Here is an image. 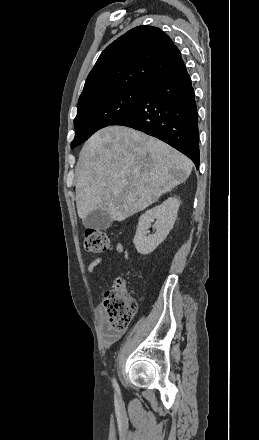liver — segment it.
Here are the masks:
<instances>
[{
	"instance_id": "obj_1",
	"label": "liver",
	"mask_w": 259,
	"mask_h": 440,
	"mask_svg": "<svg viewBox=\"0 0 259 440\" xmlns=\"http://www.w3.org/2000/svg\"><path fill=\"white\" fill-rule=\"evenodd\" d=\"M191 160L163 141L125 126L97 131L76 166V205L83 220L97 209L112 221L146 209L185 182Z\"/></svg>"
}]
</instances>
